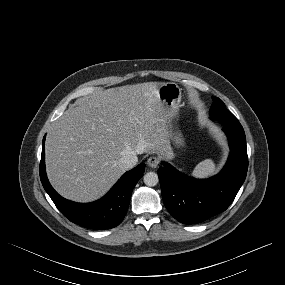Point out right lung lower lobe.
Wrapping results in <instances>:
<instances>
[{
	"label": "right lung lower lobe",
	"mask_w": 285,
	"mask_h": 285,
	"mask_svg": "<svg viewBox=\"0 0 285 285\" xmlns=\"http://www.w3.org/2000/svg\"><path fill=\"white\" fill-rule=\"evenodd\" d=\"M44 142L45 137L42 143L40 179L59 211L73 223L90 229H110L120 224L127 212L133 188L143 176L145 164L126 172L100 200L86 204L76 203L61 197L50 185L45 171Z\"/></svg>",
	"instance_id": "obj_1"
}]
</instances>
